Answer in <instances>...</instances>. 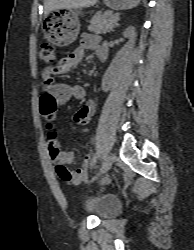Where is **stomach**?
Here are the masks:
<instances>
[{
    "label": "stomach",
    "mask_w": 194,
    "mask_h": 250,
    "mask_svg": "<svg viewBox=\"0 0 194 250\" xmlns=\"http://www.w3.org/2000/svg\"><path fill=\"white\" fill-rule=\"evenodd\" d=\"M114 10L129 9L136 6L139 0H104ZM74 10L53 9L45 16L43 34L50 43L65 47L73 43L80 30L79 15Z\"/></svg>",
    "instance_id": "0dacf381"
}]
</instances>
